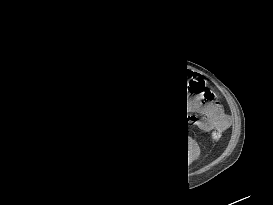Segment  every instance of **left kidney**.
Returning a JSON list of instances; mask_svg holds the SVG:
<instances>
[{
    "label": "left kidney",
    "instance_id": "1",
    "mask_svg": "<svg viewBox=\"0 0 273 205\" xmlns=\"http://www.w3.org/2000/svg\"><path fill=\"white\" fill-rule=\"evenodd\" d=\"M199 152L200 148L198 144L192 138L188 137V162L191 163L195 160Z\"/></svg>",
    "mask_w": 273,
    "mask_h": 205
}]
</instances>
